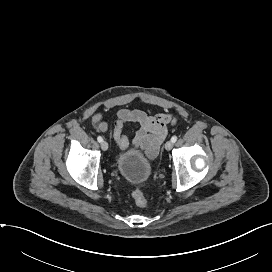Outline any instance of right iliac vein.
I'll use <instances>...</instances> for the list:
<instances>
[{
	"instance_id": "right-iliac-vein-1",
	"label": "right iliac vein",
	"mask_w": 272,
	"mask_h": 272,
	"mask_svg": "<svg viewBox=\"0 0 272 272\" xmlns=\"http://www.w3.org/2000/svg\"><path fill=\"white\" fill-rule=\"evenodd\" d=\"M101 148L103 151H106L108 149V143L106 141H102Z\"/></svg>"
}]
</instances>
